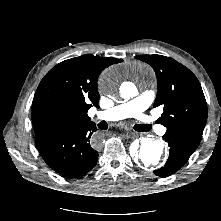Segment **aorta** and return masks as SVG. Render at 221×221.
I'll use <instances>...</instances> for the list:
<instances>
[{
	"instance_id": "obj_1",
	"label": "aorta",
	"mask_w": 221,
	"mask_h": 221,
	"mask_svg": "<svg viewBox=\"0 0 221 221\" xmlns=\"http://www.w3.org/2000/svg\"><path fill=\"white\" fill-rule=\"evenodd\" d=\"M119 75V69L108 71L102 75L100 85L101 89L106 94H113L115 92ZM120 95L122 98L128 100L137 95V90L131 85L128 89L121 90ZM138 147L139 149L133 152V157L138 164L147 168H153L162 164L164 159L163 142L152 138H146L140 142Z\"/></svg>"
}]
</instances>
